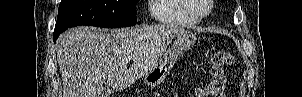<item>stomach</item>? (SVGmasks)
<instances>
[{
    "mask_svg": "<svg viewBox=\"0 0 302 97\" xmlns=\"http://www.w3.org/2000/svg\"><path fill=\"white\" fill-rule=\"evenodd\" d=\"M195 40L196 37L190 32L178 34L170 50L144 75V83L151 87L159 85L170 73L177 59L194 45Z\"/></svg>",
    "mask_w": 302,
    "mask_h": 97,
    "instance_id": "1",
    "label": "stomach"
}]
</instances>
